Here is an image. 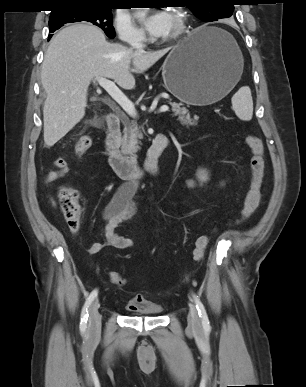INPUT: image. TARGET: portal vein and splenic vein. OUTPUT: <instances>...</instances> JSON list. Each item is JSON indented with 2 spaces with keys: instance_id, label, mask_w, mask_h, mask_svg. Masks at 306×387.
Instances as JSON below:
<instances>
[{
  "instance_id": "portal-vein-and-splenic-vein-1",
  "label": "portal vein and splenic vein",
  "mask_w": 306,
  "mask_h": 387,
  "mask_svg": "<svg viewBox=\"0 0 306 387\" xmlns=\"http://www.w3.org/2000/svg\"><path fill=\"white\" fill-rule=\"evenodd\" d=\"M99 85L105 89V91L111 96V98L118 103L122 109L132 118H136L137 112L134 104L130 101L124 93L116 86V84L106 78L97 77ZM169 107L167 105H162L159 108V112H167Z\"/></svg>"
}]
</instances>
